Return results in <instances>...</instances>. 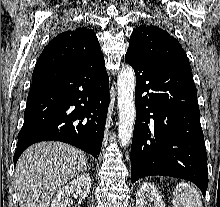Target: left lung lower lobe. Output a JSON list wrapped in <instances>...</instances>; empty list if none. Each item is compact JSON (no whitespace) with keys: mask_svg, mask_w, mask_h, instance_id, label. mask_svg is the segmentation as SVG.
Returning a JSON list of instances; mask_svg holds the SVG:
<instances>
[{"mask_svg":"<svg viewBox=\"0 0 220 207\" xmlns=\"http://www.w3.org/2000/svg\"><path fill=\"white\" fill-rule=\"evenodd\" d=\"M125 60L136 75L132 183L151 175L183 178L195 183L205 197L207 153L191 70L153 67L128 53Z\"/></svg>","mask_w":220,"mask_h":207,"instance_id":"left-lung-lower-lobe-1","label":"left lung lower lobe"}]
</instances>
